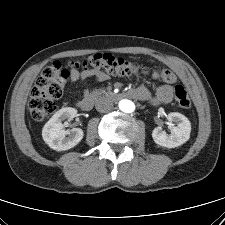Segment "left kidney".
<instances>
[{"instance_id": "left-kidney-1", "label": "left kidney", "mask_w": 225, "mask_h": 225, "mask_svg": "<svg viewBox=\"0 0 225 225\" xmlns=\"http://www.w3.org/2000/svg\"><path fill=\"white\" fill-rule=\"evenodd\" d=\"M167 118L170 122H174L176 126H172L171 134L166 133L161 128H155L152 132L154 142L167 148H175L187 142L191 132L190 121L177 112L169 113Z\"/></svg>"}]
</instances>
